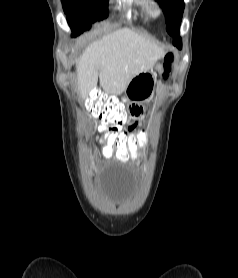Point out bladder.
Returning <instances> with one entry per match:
<instances>
[{"label":"bladder","mask_w":238,"mask_h":278,"mask_svg":"<svg viewBox=\"0 0 238 278\" xmlns=\"http://www.w3.org/2000/svg\"><path fill=\"white\" fill-rule=\"evenodd\" d=\"M129 174V169H120L119 167H110L105 169L100 175V180H135V175ZM103 190L108 191L110 188V196L113 199L122 200L128 194H132L133 190L130 186H137V181H102ZM106 185V186H105ZM109 186V187H108ZM123 186V187H122Z\"/></svg>","instance_id":"31cf9c89"}]
</instances>
